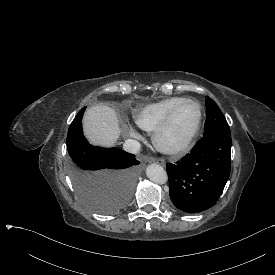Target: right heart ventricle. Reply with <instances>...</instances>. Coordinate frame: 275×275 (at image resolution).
<instances>
[{
	"instance_id": "e07e8e85",
	"label": "right heart ventricle",
	"mask_w": 275,
	"mask_h": 275,
	"mask_svg": "<svg viewBox=\"0 0 275 275\" xmlns=\"http://www.w3.org/2000/svg\"><path fill=\"white\" fill-rule=\"evenodd\" d=\"M183 97H173L147 104L132 111L133 122L142 130L153 132L165 119L171 108Z\"/></svg>"
}]
</instances>
